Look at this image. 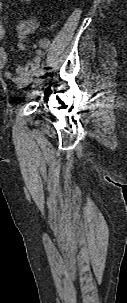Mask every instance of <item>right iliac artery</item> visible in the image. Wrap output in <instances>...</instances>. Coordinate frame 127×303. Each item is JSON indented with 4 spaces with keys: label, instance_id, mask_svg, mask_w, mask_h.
<instances>
[{
    "label": "right iliac artery",
    "instance_id": "obj_1",
    "mask_svg": "<svg viewBox=\"0 0 127 303\" xmlns=\"http://www.w3.org/2000/svg\"><path fill=\"white\" fill-rule=\"evenodd\" d=\"M45 71H46V66H42V67L38 70V72H37L36 75H37V76H40V75L44 74Z\"/></svg>",
    "mask_w": 127,
    "mask_h": 303
}]
</instances>
